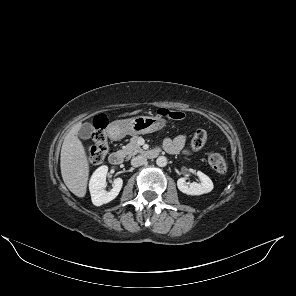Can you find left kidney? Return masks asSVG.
<instances>
[{"mask_svg":"<svg viewBox=\"0 0 296 296\" xmlns=\"http://www.w3.org/2000/svg\"><path fill=\"white\" fill-rule=\"evenodd\" d=\"M197 175L200 183H188L185 178H179L177 181L178 189L187 195H202L211 192L214 187L212 180L201 171H198Z\"/></svg>","mask_w":296,"mask_h":296,"instance_id":"5707ae66","label":"left kidney"}]
</instances>
